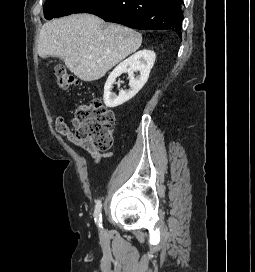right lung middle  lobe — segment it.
I'll list each match as a JSON object with an SVG mask.
<instances>
[{"label": "right lung middle lobe", "instance_id": "right-lung-middle-lobe-1", "mask_svg": "<svg viewBox=\"0 0 255 272\" xmlns=\"http://www.w3.org/2000/svg\"><path fill=\"white\" fill-rule=\"evenodd\" d=\"M90 0H46L44 4V16L47 20L70 15Z\"/></svg>", "mask_w": 255, "mask_h": 272}]
</instances>
